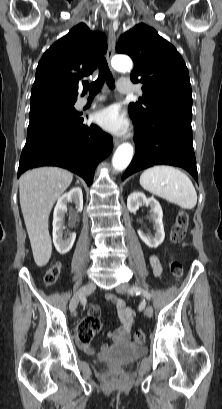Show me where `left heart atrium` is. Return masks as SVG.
Wrapping results in <instances>:
<instances>
[{
	"instance_id": "39dd6f15",
	"label": "left heart atrium",
	"mask_w": 222,
	"mask_h": 409,
	"mask_svg": "<svg viewBox=\"0 0 222 409\" xmlns=\"http://www.w3.org/2000/svg\"><path fill=\"white\" fill-rule=\"evenodd\" d=\"M93 120L101 128L113 134H123L127 130V121L115 106L96 112Z\"/></svg>"
}]
</instances>
